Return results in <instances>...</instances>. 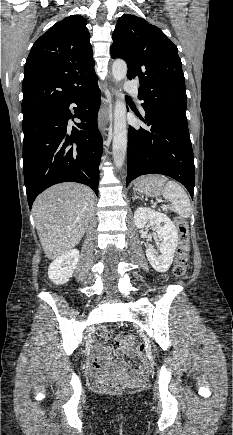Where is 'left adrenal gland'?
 I'll use <instances>...</instances> for the list:
<instances>
[{"mask_svg":"<svg viewBox=\"0 0 233 435\" xmlns=\"http://www.w3.org/2000/svg\"><path fill=\"white\" fill-rule=\"evenodd\" d=\"M137 198H139L137 195H136V192L134 191V196H133V200H135V199H137Z\"/></svg>","mask_w":233,"mask_h":435,"instance_id":"left-adrenal-gland-1","label":"left adrenal gland"}]
</instances>
